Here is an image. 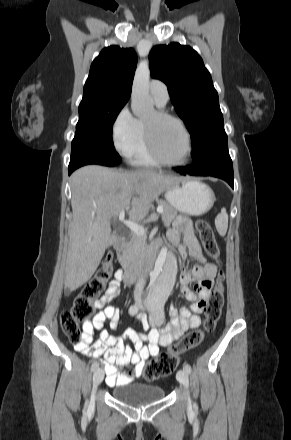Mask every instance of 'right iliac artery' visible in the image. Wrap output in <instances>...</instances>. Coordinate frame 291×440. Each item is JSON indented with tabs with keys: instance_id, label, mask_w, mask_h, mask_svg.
Instances as JSON below:
<instances>
[{
	"instance_id": "1",
	"label": "right iliac artery",
	"mask_w": 291,
	"mask_h": 440,
	"mask_svg": "<svg viewBox=\"0 0 291 440\" xmlns=\"http://www.w3.org/2000/svg\"><path fill=\"white\" fill-rule=\"evenodd\" d=\"M137 312H138V307L136 306V305H132L130 308H129V314L130 315H135V314H137ZM99 368V363L97 362V361H95L93 364H92V366H91V371H95L96 369H98Z\"/></svg>"
}]
</instances>
